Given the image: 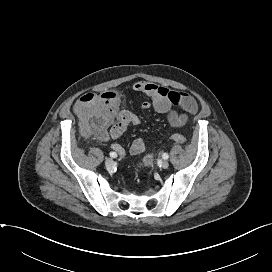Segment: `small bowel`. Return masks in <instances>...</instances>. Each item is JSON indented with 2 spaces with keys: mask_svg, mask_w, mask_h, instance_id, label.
<instances>
[{
  "mask_svg": "<svg viewBox=\"0 0 272 272\" xmlns=\"http://www.w3.org/2000/svg\"><path fill=\"white\" fill-rule=\"evenodd\" d=\"M133 89L150 98V102L142 105L144 110L153 108L157 113L164 114L169 124L174 128H183L191 115L198 110L196 100L189 94L177 90H171L146 81H138L133 85ZM139 124V118L130 111L120 113V120L113 124L107 132L100 134L102 141L119 138L125 130L131 125ZM111 148L118 153L120 157L125 155L124 148L118 143H112ZM144 142L137 138L132 141L129 151L133 155L144 151Z\"/></svg>",
  "mask_w": 272,
  "mask_h": 272,
  "instance_id": "c3829d8e",
  "label": "small bowel"
}]
</instances>
